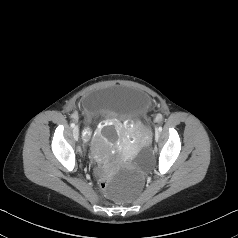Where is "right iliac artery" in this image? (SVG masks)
<instances>
[{
    "instance_id": "82829eb1",
    "label": "right iliac artery",
    "mask_w": 238,
    "mask_h": 238,
    "mask_svg": "<svg viewBox=\"0 0 238 238\" xmlns=\"http://www.w3.org/2000/svg\"><path fill=\"white\" fill-rule=\"evenodd\" d=\"M70 126H71L72 128H74V127H75V124H74V123H71Z\"/></svg>"
}]
</instances>
